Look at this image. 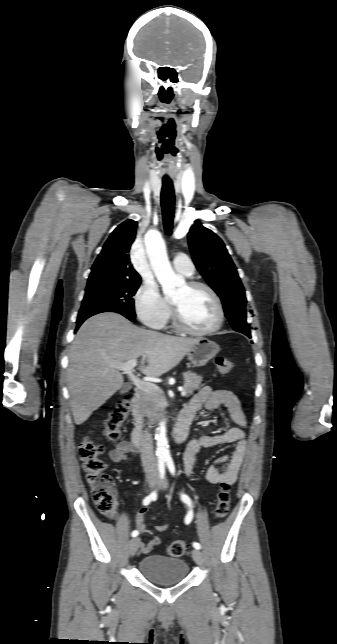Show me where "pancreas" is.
Segmentation results:
<instances>
[{
	"label": "pancreas",
	"instance_id": "cf45deb5",
	"mask_svg": "<svg viewBox=\"0 0 337 644\" xmlns=\"http://www.w3.org/2000/svg\"><path fill=\"white\" fill-rule=\"evenodd\" d=\"M184 386L186 395H192L200 387L202 377L193 372L184 374ZM165 397L161 391L144 392L140 398L143 416L147 417L149 423L154 424L162 416L165 410L163 404Z\"/></svg>",
	"mask_w": 337,
	"mask_h": 644
}]
</instances>
